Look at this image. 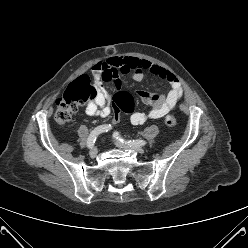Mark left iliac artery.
Masks as SVG:
<instances>
[{"instance_id":"44dca946","label":"left iliac artery","mask_w":248,"mask_h":248,"mask_svg":"<svg viewBox=\"0 0 248 248\" xmlns=\"http://www.w3.org/2000/svg\"><path fill=\"white\" fill-rule=\"evenodd\" d=\"M113 137L117 140H119L120 142H125L129 145H137V146H144L146 145V141L144 140H125L124 138L121 137V135L119 134V132H114L113 133Z\"/></svg>"}]
</instances>
